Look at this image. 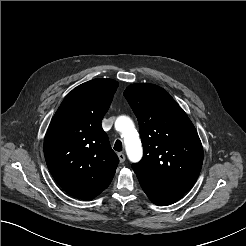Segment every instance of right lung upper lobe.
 I'll list each match as a JSON object with an SVG mask.
<instances>
[{
	"mask_svg": "<svg viewBox=\"0 0 246 246\" xmlns=\"http://www.w3.org/2000/svg\"><path fill=\"white\" fill-rule=\"evenodd\" d=\"M118 82L97 78L73 89L52 118L44 139L48 169L68 194L90 200L112 181L119 159L101 121Z\"/></svg>",
	"mask_w": 246,
	"mask_h": 246,
	"instance_id": "right-lung-upper-lobe-1",
	"label": "right lung upper lobe"
}]
</instances>
